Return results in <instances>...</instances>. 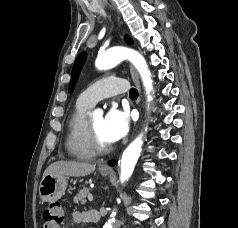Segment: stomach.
<instances>
[{
	"label": "stomach",
	"mask_w": 238,
	"mask_h": 228,
	"mask_svg": "<svg viewBox=\"0 0 238 228\" xmlns=\"http://www.w3.org/2000/svg\"><path fill=\"white\" fill-rule=\"evenodd\" d=\"M101 175L106 177L110 173L100 171ZM67 176L61 174H48L45 175L39 186V195L43 201L53 202L60 199L67 188Z\"/></svg>",
	"instance_id": "obj_1"
}]
</instances>
